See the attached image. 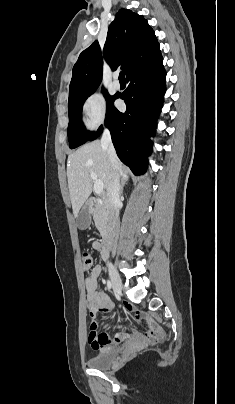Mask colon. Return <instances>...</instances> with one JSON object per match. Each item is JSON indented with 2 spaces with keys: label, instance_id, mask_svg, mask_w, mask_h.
Here are the masks:
<instances>
[{
  "label": "colon",
  "instance_id": "5ec220e1",
  "mask_svg": "<svg viewBox=\"0 0 235 404\" xmlns=\"http://www.w3.org/2000/svg\"><path fill=\"white\" fill-rule=\"evenodd\" d=\"M80 257L82 262V269L84 271L90 270L93 264V258L89 250L82 249L80 251ZM89 332L95 333L97 330V322L95 319V315H90L89 319ZM146 336L150 341L159 342L163 339V333L161 330L157 328L150 327L149 330L146 331Z\"/></svg>",
  "mask_w": 235,
  "mask_h": 404
}]
</instances>
